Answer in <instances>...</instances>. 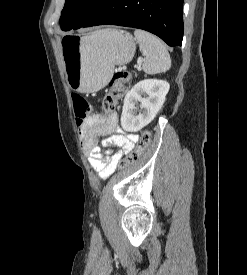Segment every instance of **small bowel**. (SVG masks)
Instances as JSON below:
<instances>
[{
    "mask_svg": "<svg viewBox=\"0 0 247 275\" xmlns=\"http://www.w3.org/2000/svg\"><path fill=\"white\" fill-rule=\"evenodd\" d=\"M103 136L102 147L97 137ZM80 137L91 167L101 179L108 178L121 159L134 148L139 136L125 133L118 124L117 114L107 116L95 113L89 116L80 131ZM115 149L112 151L111 149Z\"/></svg>",
    "mask_w": 247,
    "mask_h": 275,
    "instance_id": "c3829d8e",
    "label": "small bowel"
}]
</instances>
